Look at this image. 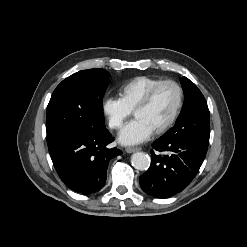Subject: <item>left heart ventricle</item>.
Masks as SVG:
<instances>
[{
	"instance_id": "obj_1",
	"label": "left heart ventricle",
	"mask_w": 247,
	"mask_h": 247,
	"mask_svg": "<svg viewBox=\"0 0 247 247\" xmlns=\"http://www.w3.org/2000/svg\"><path fill=\"white\" fill-rule=\"evenodd\" d=\"M177 100V90L171 85H165L159 89L146 109L135 114V118L142 120L154 132L171 117Z\"/></svg>"
}]
</instances>
